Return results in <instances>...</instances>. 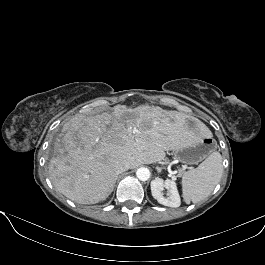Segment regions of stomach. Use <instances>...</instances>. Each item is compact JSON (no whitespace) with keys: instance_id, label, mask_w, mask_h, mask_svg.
<instances>
[{"instance_id":"obj_1","label":"stomach","mask_w":265,"mask_h":265,"mask_svg":"<svg viewBox=\"0 0 265 265\" xmlns=\"http://www.w3.org/2000/svg\"><path fill=\"white\" fill-rule=\"evenodd\" d=\"M213 150V143L207 136L175 150V159L186 164H197L206 158Z\"/></svg>"}]
</instances>
